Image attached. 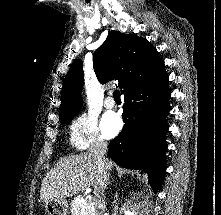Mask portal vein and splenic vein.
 <instances>
[{
	"label": "portal vein and splenic vein",
	"instance_id": "portal-vein-and-splenic-vein-1",
	"mask_svg": "<svg viewBox=\"0 0 221 215\" xmlns=\"http://www.w3.org/2000/svg\"><path fill=\"white\" fill-rule=\"evenodd\" d=\"M90 200H91V196L88 195V196L85 197V199H84L83 201H84V202H88V201H90Z\"/></svg>",
	"mask_w": 221,
	"mask_h": 215
}]
</instances>
